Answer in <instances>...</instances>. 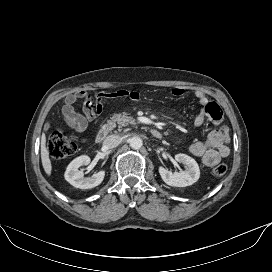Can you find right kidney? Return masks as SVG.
<instances>
[{"label": "right kidney", "mask_w": 272, "mask_h": 272, "mask_svg": "<svg viewBox=\"0 0 272 272\" xmlns=\"http://www.w3.org/2000/svg\"><path fill=\"white\" fill-rule=\"evenodd\" d=\"M89 163L90 157L87 155H81L71 161L64 174L66 181L80 189H91L101 184L105 176V171H99L91 177L85 178L83 172L79 170V167L88 165Z\"/></svg>", "instance_id": "right-kidney-1"}]
</instances>
